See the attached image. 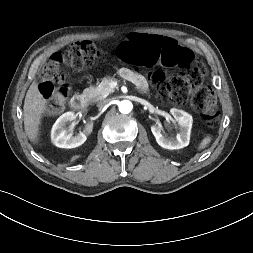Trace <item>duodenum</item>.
<instances>
[{"label": "duodenum", "instance_id": "obj_1", "mask_svg": "<svg viewBox=\"0 0 253 253\" xmlns=\"http://www.w3.org/2000/svg\"><path fill=\"white\" fill-rule=\"evenodd\" d=\"M88 104L89 96L87 94H75L70 100V105L75 110L85 109Z\"/></svg>", "mask_w": 253, "mask_h": 253}]
</instances>
